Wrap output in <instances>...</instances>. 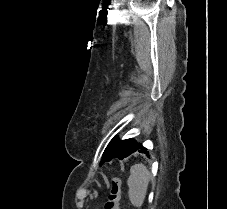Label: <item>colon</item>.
I'll use <instances>...</instances> for the list:
<instances>
[{
  "mask_svg": "<svg viewBox=\"0 0 227 209\" xmlns=\"http://www.w3.org/2000/svg\"><path fill=\"white\" fill-rule=\"evenodd\" d=\"M121 195V180L119 177H113L109 182V195L104 204V209H120L119 201Z\"/></svg>",
  "mask_w": 227,
  "mask_h": 209,
  "instance_id": "1",
  "label": "colon"
}]
</instances>
